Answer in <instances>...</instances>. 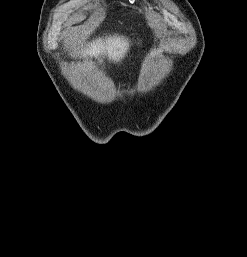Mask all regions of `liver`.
<instances>
[{
    "label": "liver",
    "instance_id": "obj_1",
    "mask_svg": "<svg viewBox=\"0 0 247 257\" xmlns=\"http://www.w3.org/2000/svg\"><path fill=\"white\" fill-rule=\"evenodd\" d=\"M129 50V41L123 36L113 35L98 38L88 43L85 47H79L81 56L89 55L91 57L108 56L109 60L120 61Z\"/></svg>",
    "mask_w": 247,
    "mask_h": 257
}]
</instances>
